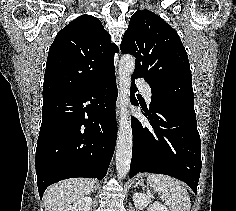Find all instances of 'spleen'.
Listing matches in <instances>:
<instances>
[{"mask_svg": "<svg viewBox=\"0 0 236 211\" xmlns=\"http://www.w3.org/2000/svg\"><path fill=\"white\" fill-rule=\"evenodd\" d=\"M147 182L171 211H190L189 193L177 179L162 174H149Z\"/></svg>", "mask_w": 236, "mask_h": 211, "instance_id": "spleen-1", "label": "spleen"}]
</instances>
